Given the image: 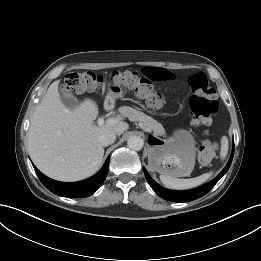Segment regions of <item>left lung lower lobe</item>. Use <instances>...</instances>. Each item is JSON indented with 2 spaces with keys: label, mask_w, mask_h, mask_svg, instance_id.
Wrapping results in <instances>:
<instances>
[{
  "label": "left lung lower lobe",
  "mask_w": 261,
  "mask_h": 261,
  "mask_svg": "<svg viewBox=\"0 0 261 261\" xmlns=\"http://www.w3.org/2000/svg\"><path fill=\"white\" fill-rule=\"evenodd\" d=\"M234 155V145H233V150L230 156V159L225 166V168L219 173V175L214 178L212 181H210L207 184H204L198 188L188 190V191H172L169 189H165L158 185L147 173L146 169L143 167L144 174L146 176V179L149 183V185L152 187V189L163 199L169 200V201H174V202H188L192 201L195 199H198L202 196H204L206 193H208L213 186L221 179V177L228 171L232 159Z\"/></svg>",
  "instance_id": "1"
}]
</instances>
